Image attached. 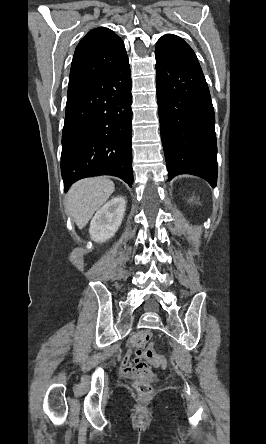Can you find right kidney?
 Segmentation results:
<instances>
[{"instance_id":"1","label":"right kidney","mask_w":266,"mask_h":444,"mask_svg":"<svg viewBox=\"0 0 266 444\" xmlns=\"http://www.w3.org/2000/svg\"><path fill=\"white\" fill-rule=\"evenodd\" d=\"M126 208L123 197H114L101 207L90 223L89 233L95 242L109 240L122 223Z\"/></svg>"}]
</instances>
